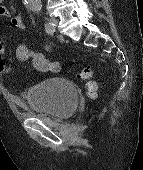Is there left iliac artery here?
<instances>
[{
	"label": "left iliac artery",
	"instance_id": "44dca946",
	"mask_svg": "<svg viewBox=\"0 0 143 170\" xmlns=\"http://www.w3.org/2000/svg\"><path fill=\"white\" fill-rule=\"evenodd\" d=\"M47 33L53 34L55 32V25L47 23L45 25Z\"/></svg>",
	"mask_w": 143,
	"mask_h": 170
}]
</instances>
